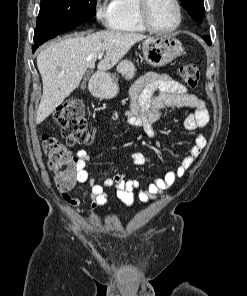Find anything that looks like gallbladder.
Instances as JSON below:
<instances>
[{
	"label": "gallbladder",
	"instance_id": "1",
	"mask_svg": "<svg viewBox=\"0 0 247 296\" xmlns=\"http://www.w3.org/2000/svg\"><path fill=\"white\" fill-rule=\"evenodd\" d=\"M86 78L88 79V74L86 75ZM85 82H86V79L84 80V83L81 85V88L84 89L86 86H85Z\"/></svg>",
	"mask_w": 247,
	"mask_h": 296
}]
</instances>
